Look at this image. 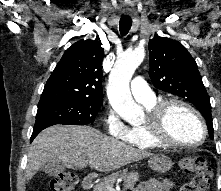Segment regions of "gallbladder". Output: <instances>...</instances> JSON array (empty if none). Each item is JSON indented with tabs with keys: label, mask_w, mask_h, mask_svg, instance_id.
<instances>
[{
	"label": "gallbladder",
	"mask_w": 221,
	"mask_h": 191,
	"mask_svg": "<svg viewBox=\"0 0 221 191\" xmlns=\"http://www.w3.org/2000/svg\"><path fill=\"white\" fill-rule=\"evenodd\" d=\"M40 170L48 175H57L65 170V165L60 161H47Z\"/></svg>",
	"instance_id": "bac80fb5"
}]
</instances>
